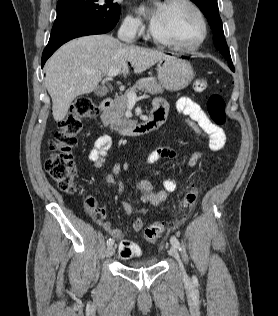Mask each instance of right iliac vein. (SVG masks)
<instances>
[{"mask_svg":"<svg viewBox=\"0 0 278 316\" xmlns=\"http://www.w3.org/2000/svg\"><path fill=\"white\" fill-rule=\"evenodd\" d=\"M114 253H115L114 246L113 245L108 246L107 249H106V256L107 257H111V256L114 255Z\"/></svg>","mask_w":278,"mask_h":316,"instance_id":"1","label":"right iliac vein"}]
</instances>
